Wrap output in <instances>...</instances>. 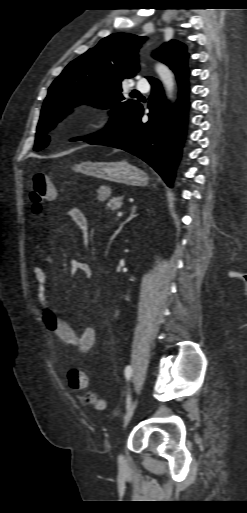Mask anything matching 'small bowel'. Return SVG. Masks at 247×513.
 I'll list each match as a JSON object with an SVG mask.
<instances>
[{"instance_id": "c3829d8e", "label": "small bowel", "mask_w": 247, "mask_h": 513, "mask_svg": "<svg viewBox=\"0 0 247 513\" xmlns=\"http://www.w3.org/2000/svg\"><path fill=\"white\" fill-rule=\"evenodd\" d=\"M67 214L82 236L88 237L89 226L84 213L73 207ZM70 266L73 273H80L87 279L91 278L92 271L87 263L73 260ZM31 277L34 282L31 292L42 305L41 318L45 327L52 331L69 350L78 354H87L95 345V330L91 326H84L77 331L71 323L61 319L59 309L51 304L49 294L54 290V286L44 268L33 266Z\"/></svg>"}]
</instances>
